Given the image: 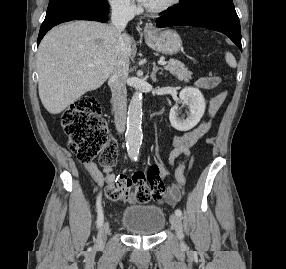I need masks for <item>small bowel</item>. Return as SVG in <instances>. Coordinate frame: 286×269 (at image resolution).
<instances>
[{"mask_svg":"<svg viewBox=\"0 0 286 269\" xmlns=\"http://www.w3.org/2000/svg\"><path fill=\"white\" fill-rule=\"evenodd\" d=\"M203 78H216V77H203ZM198 83V82H197ZM221 105H219L220 108ZM218 110H208V119L202 121L191 131H188L182 135L175 136L173 139V149L169 155V164L174 166L175 160L178 157H182V161L175 169L176 184L171 185L164 197L158 198L160 203L167 205H175L181 197L183 187L186 184L185 171L186 169H192L195 162V155L192 152V148L197 144L199 139L208 131L210 127V118L213 117ZM85 169L89 172L93 180L97 185L101 187H108L115 179L116 175L112 172V167H102L100 170L94 162H87L84 164ZM168 172L163 168L164 178ZM127 199L133 201L132 194Z\"/></svg>","mask_w":286,"mask_h":269,"instance_id":"c3829d8e","label":"small bowel"}]
</instances>
